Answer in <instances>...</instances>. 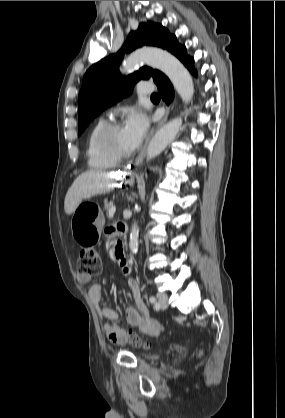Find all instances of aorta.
Returning a JSON list of instances; mask_svg holds the SVG:
<instances>
[{"label": "aorta", "instance_id": "aorta-1", "mask_svg": "<svg viewBox=\"0 0 285 418\" xmlns=\"http://www.w3.org/2000/svg\"><path fill=\"white\" fill-rule=\"evenodd\" d=\"M142 62L162 71L172 82L183 102L191 101L194 94L193 80L183 64L167 51L158 48H144L133 52L124 62L126 70H133ZM182 118L177 117L165 124L152 138L147 148V160L158 156L176 138ZM139 229L132 225L129 247L132 253L138 251Z\"/></svg>", "mask_w": 285, "mask_h": 418}]
</instances>
